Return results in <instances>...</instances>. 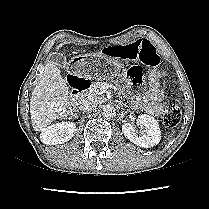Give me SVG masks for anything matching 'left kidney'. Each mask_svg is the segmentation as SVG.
<instances>
[{
	"label": "left kidney",
	"instance_id": "1",
	"mask_svg": "<svg viewBox=\"0 0 209 209\" xmlns=\"http://www.w3.org/2000/svg\"><path fill=\"white\" fill-rule=\"evenodd\" d=\"M136 123L144 129L142 135L138 136L136 134L135 128L131 123L122 125L123 134L128 140L143 148L153 147L160 142L161 131L154 117L142 114L138 116Z\"/></svg>",
	"mask_w": 209,
	"mask_h": 209
}]
</instances>
